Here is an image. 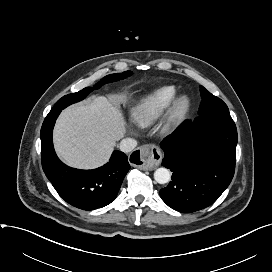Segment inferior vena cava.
I'll return each mask as SVG.
<instances>
[{"instance_id": "1", "label": "inferior vena cava", "mask_w": 272, "mask_h": 272, "mask_svg": "<svg viewBox=\"0 0 272 272\" xmlns=\"http://www.w3.org/2000/svg\"><path fill=\"white\" fill-rule=\"evenodd\" d=\"M137 146V141L135 139L132 138H126L123 139L120 142V150L124 153H129L131 152L135 147Z\"/></svg>"}]
</instances>
